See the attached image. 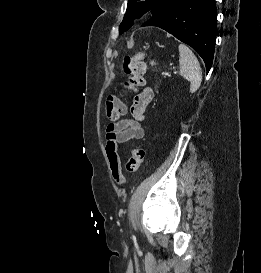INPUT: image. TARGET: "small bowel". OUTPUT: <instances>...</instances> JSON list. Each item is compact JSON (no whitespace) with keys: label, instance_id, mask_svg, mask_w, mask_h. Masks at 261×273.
I'll return each instance as SVG.
<instances>
[{"label":"small bowel","instance_id":"obj_1","mask_svg":"<svg viewBox=\"0 0 261 273\" xmlns=\"http://www.w3.org/2000/svg\"><path fill=\"white\" fill-rule=\"evenodd\" d=\"M153 98V89L146 87L134 98L131 106L133 118L110 123L106 128L105 153L109 162L111 176L118 184L125 182L121 160L117 151L118 144L131 140H140L144 137L145 132L140 122L144 120L146 109Z\"/></svg>","mask_w":261,"mask_h":273}]
</instances>
